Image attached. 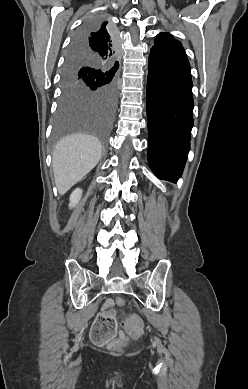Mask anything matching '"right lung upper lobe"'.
Masks as SVG:
<instances>
[{
	"instance_id": "obj_1",
	"label": "right lung upper lobe",
	"mask_w": 248,
	"mask_h": 389,
	"mask_svg": "<svg viewBox=\"0 0 248 389\" xmlns=\"http://www.w3.org/2000/svg\"><path fill=\"white\" fill-rule=\"evenodd\" d=\"M79 43L77 48L92 58H96L103 63L108 64L112 70H116L119 67V45H115L112 41L110 32L108 30V22L103 23L99 29L92 31L85 35Z\"/></svg>"
}]
</instances>
